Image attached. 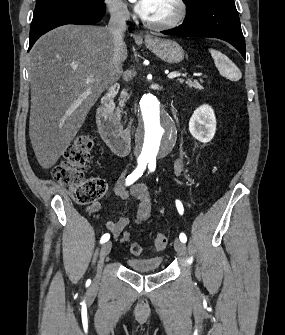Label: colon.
I'll use <instances>...</instances> for the list:
<instances>
[{
	"mask_svg": "<svg viewBox=\"0 0 285 335\" xmlns=\"http://www.w3.org/2000/svg\"><path fill=\"white\" fill-rule=\"evenodd\" d=\"M93 137L89 134L78 136L66 149L64 160L54 168V179L78 204H91L100 199L107 190L106 182L99 177H86L85 168L91 159ZM130 241L129 232H124L121 242ZM168 239L164 234H156L153 246L157 251L164 250ZM130 252L134 255L142 253V247L137 243L130 244Z\"/></svg>",
	"mask_w": 285,
	"mask_h": 335,
	"instance_id": "obj_1",
	"label": "colon"
}]
</instances>
